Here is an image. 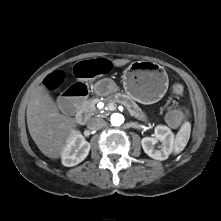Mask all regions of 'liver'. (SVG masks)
<instances>
[{"mask_svg":"<svg viewBox=\"0 0 221 221\" xmlns=\"http://www.w3.org/2000/svg\"><path fill=\"white\" fill-rule=\"evenodd\" d=\"M129 62L115 59L112 64L121 67ZM26 114L29 133L39 150L51 159L59 158L68 138L75 132L76 120L59 113L43 85L31 93Z\"/></svg>","mask_w":221,"mask_h":221,"instance_id":"1","label":"liver"}]
</instances>
